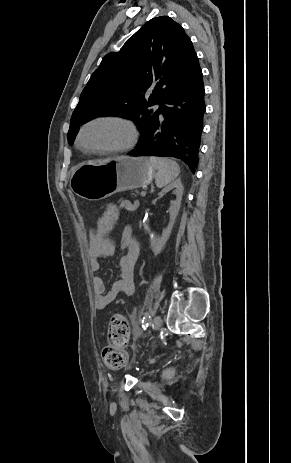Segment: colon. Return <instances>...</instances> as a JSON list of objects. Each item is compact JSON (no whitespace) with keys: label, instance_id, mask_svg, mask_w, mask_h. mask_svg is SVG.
I'll return each mask as SVG.
<instances>
[{"label":"colon","instance_id":"colon-1","mask_svg":"<svg viewBox=\"0 0 291 463\" xmlns=\"http://www.w3.org/2000/svg\"><path fill=\"white\" fill-rule=\"evenodd\" d=\"M114 206L101 209L98 213V232L106 233L114 229ZM129 328L126 320L116 314L110 319L109 342L103 347L102 359L104 365L110 369H119L124 366L127 355L123 349L128 340Z\"/></svg>","mask_w":291,"mask_h":463}]
</instances>
